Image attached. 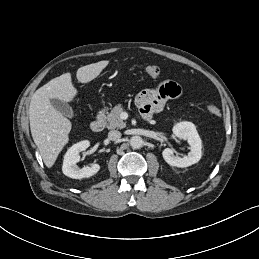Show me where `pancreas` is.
I'll use <instances>...</instances> for the list:
<instances>
[{"instance_id":"cf45deb5","label":"pancreas","mask_w":259,"mask_h":259,"mask_svg":"<svg viewBox=\"0 0 259 259\" xmlns=\"http://www.w3.org/2000/svg\"><path fill=\"white\" fill-rule=\"evenodd\" d=\"M124 112V107L121 104L116 105L106 116L108 129H123L126 123L121 119V114Z\"/></svg>"}]
</instances>
